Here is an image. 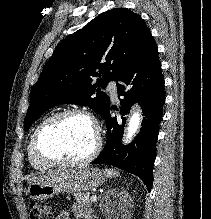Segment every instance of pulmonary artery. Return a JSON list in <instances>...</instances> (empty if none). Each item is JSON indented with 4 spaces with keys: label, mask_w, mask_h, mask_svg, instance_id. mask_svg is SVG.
Returning a JSON list of instances; mask_svg holds the SVG:
<instances>
[{
    "label": "pulmonary artery",
    "mask_w": 211,
    "mask_h": 219,
    "mask_svg": "<svg viewBox=\"0 0 211 219\" xmlns=\"http://www.w3.org/2000/svg\"><path fill=\"white\" fill-rule=\"evenodd\" d=\"M108 91L111 93L113 99L117 98V85L115 81H110L107 85Z\"/></svg>",
    "instance_id": "obj_1"
}]
</instances>
